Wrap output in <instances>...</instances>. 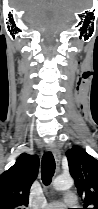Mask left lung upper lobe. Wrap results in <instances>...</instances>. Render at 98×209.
Listing matches in <instances>:
<instances>
[{
    "mask_svg": "<svg viewBox=\"0 0 98 209\" xmlns=\"http://www.w3.org/2000/svg\"><path fill=\"white\" fill-rule=\"evenodd\" d=\"M70 174L75 180L83 209H98V160L79 146L66 152Z\"/></svg>",
    "mask_w": 98,
    "mask_h": 209,
    "instance_id": "left-lung-upper-lobe-1",
    "label": "left lung upper lobe"
}]
</instances>
